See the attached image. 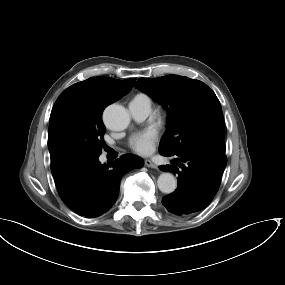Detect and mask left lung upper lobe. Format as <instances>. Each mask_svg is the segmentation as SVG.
I'll list each match as a JSON object with an SVG mask.
<instances>
[{
  "label": "left lung upper lobe",
  "instance_id": "5c2ea615",
  "mask_svg": "<svg viewBox=\"0 0 285 285\" xmlns=\"http://www.w3.org/2000/svg\"><path fill=\"white\" fill-rule=\"evenodd\" d=\"M136 87L167 108V131L160 154L196 150L225 154L224 118L215 93L203 82L184 76L140 78Z\"/></svg>",
  "mask_w": 285,
  "mask_h": 285
}]
</instances>
